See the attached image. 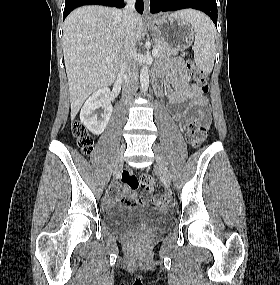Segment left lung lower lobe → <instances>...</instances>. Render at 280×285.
Masks as SVG:
<instances>
[{
  "label": "left lung lower lobe",
  "mask_w": 280,
  "mask_h": 285,
  "mask_svg": "<svg viewBox=\"0 0 280 285\" xmlns=\"http://www.w3.org/2000/svg\"><path fill=\"white\" fill-rule=\"evenodd\" d=\"M185 8H193L206 13L217 27L216 0H151L150 12L175 11Z\"/></svg>",
  "instance_id": "obj_1"
}]
</instances>
